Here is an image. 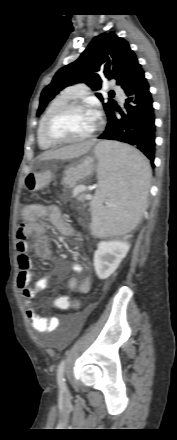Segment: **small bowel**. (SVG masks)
<instances>
[{
  "label": "small bowel",
  "instance_id": "c3829d8e",
  "mask_svg": "<svg viewBox=\"0 0 177 440\" xmlns=\"http://www.w3.org/2000/svg\"><path fill=\"white\" fill-rule=\"evenodd\" d=\"M23 216L26 223L20 227L17 233V264L19 268L17 287L24 299L26 316L31 328L37 332L49 333L58 328L60 320L58 317L46 319L39 316L33 307V301L39 291L48 288L49 281L56 277V272H50L46 276L38 279L33 287L30 285L32 281V259L28 254V237L31 235L34 237V249L36 254L43 259L50 260L52 258L50 238L44 220H48L64 237L77 239L79 236L75 228L63 219L60 209L54 204L27 205L23 210ZM71 267L76 273H80L84 270V268L76 262H73ZM68 285L71 291L87 294L91 289V279L89 275L82 279H79L77 276H72ZM55 298H69V296L61 294ZM64 341L65 339L59 340L60 343Z\"/></svg>",
  "mask_w": 177,
  "mask_h": 440
}]
</instances>
